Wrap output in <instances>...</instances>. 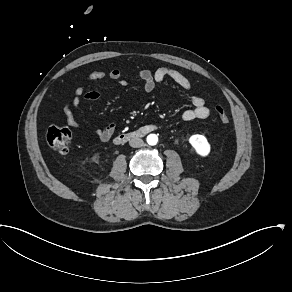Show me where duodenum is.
I'll return each mask as SVG.
<instances>
[{"label": "duodenum", "mask_w": 292, "mask_h": 292, "mask_svg": "<svg viewBox=\"0 0 292 292\" xmlns=\"http://www.w3.org/2000/svg\"><path fill=\"white\" fill-rule=\"evenodd\" d=\"M157 129H159V126H157V125H149V126L144 127V129H142V130L123 132V133L118 134L115 137V141L118 142V143H121V142H123L125 140L140 137L144 133L155 131Z\"/></svg>", "instance_id": "duodenum-1"}]
</instances>
